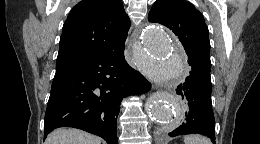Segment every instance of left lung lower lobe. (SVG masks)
Instances as JSON below:
<instances>
[{"mask_svg":"<svg viewBox=\"0 0 260 144\" xmlns=\"http://www.w3.org/2000/svg\"><path fill=\"white\" fill-rule=\"evenodd\" d=\"M191 66L189 76L181 83L176 93L185 104V115L179 126L169 133L177 135L198 133L208 136L215 143V118L211 102V65L196 59L188 60Z\"/></svg>","mask_w":260,"mask_h":144,"instance_id":"1","label":"left lung lower lobe"}]
</instances>
